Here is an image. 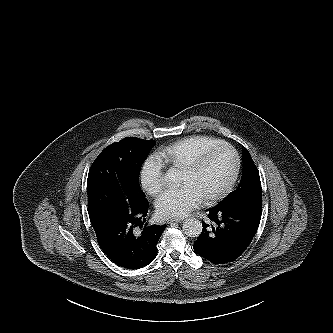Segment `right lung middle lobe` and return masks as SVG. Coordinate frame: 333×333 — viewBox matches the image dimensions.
<instances>
[{
    "instance_id": "obj_1",
    "label": "right lung middle lobe",
    "mask_w": 333,
    "mask_h": 333,
    "mask_svg": "<svg viewBox=\"0 0 333 333\" xmlns=\"http://www.w3.org/2000/svg\"><path fill=\"white\" fill-rule=\"evenodd\" d=\"M154 145L153 140L125 138L95 159L87 179L90 221L108 214H129L148 204L139 173Z\"/></svg>"
}]
</instances>
